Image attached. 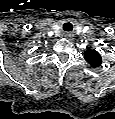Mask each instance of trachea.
<instances>
[{
	"instance_id": "obj_1",
	"label": "trachea",
	"mask_w": 115,
	"mask_h": 119,
	"mask_svg": "<svg viewBox=\"0 0 115 119\" xmlns=\"http://www.w3.org/2000/svg\"><path fill=\"white\" fill-rule=\"evenodd\" d=\"M61 29L64 30V31H71L73 29V24L71 22L65 21L62 24V28Z\"/></svg>"
}]
</instances>
